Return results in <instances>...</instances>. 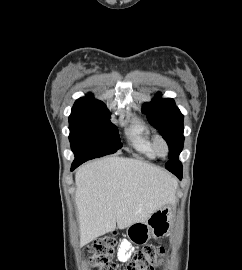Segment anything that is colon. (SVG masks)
<instances>
[{"instance_id": "obj_1", "label": "colon", "mask_w": 242, "mask_h": 270, "mask_svg": "<svg viewBox=\"0 0 242 270\" xmlns=\"http://www.w3.org/2000/svg\"><path fill=\"white\" fill-rule=\"evenodd\" d=\"M117 247V239L114 235L100 238L90 248L91 256L89 264L97 270H154L162 263V256L166 251L162 246L148 245L134 254L133 260L121 269L113 262V255Z\"/></svg>"}]
</instances>
